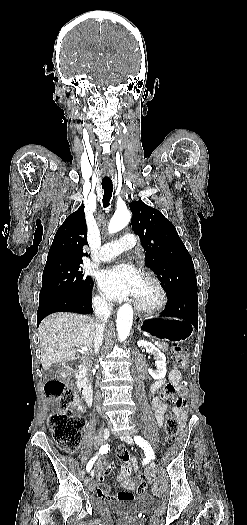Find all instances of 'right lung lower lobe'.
Here are the masks:
<instances>
[{
  "instance_id": "1",
  "label": "right lung lower lobe",
  "mask_w": 247,
  "mask_h": 525,
  "mask_svg": "<svg viewBox=\"0 0 247 525\" xmlns=\"http://www.w3.org/2000/svg\"><path fill=\"white\" fill-rule=\"evenodd\" d=\"M92 284L87 293L82 296H61L46 299L39 302L37 312V325L42 319L53 312H74L81 314H91L93 309L91 305Z\"/></svg>"
}]
</instances>
